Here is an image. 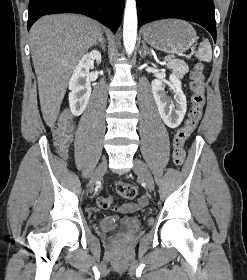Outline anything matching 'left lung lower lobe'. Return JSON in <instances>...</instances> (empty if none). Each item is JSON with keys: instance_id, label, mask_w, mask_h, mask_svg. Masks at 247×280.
Returning <instances> with one entry per match:
<instances>
[{"instance_id": "1", "label": "left lung lower lobe", "mask_w": 247, "mask_h": 280, "mask_svg": "<svg viewBox=\"0 0 247 280\" xmlns=\"http://www.w3.org/2000/svg\"><path fill=\"white\" fill-rule=\"evenodd\" d=\"M136 2L139 27L154 20L179 18L202 25L216 42L213 0H136Z\"/></svg>"}]
</instances>
